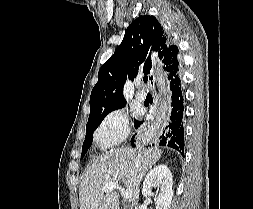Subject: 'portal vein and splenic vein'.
<instances>
[{
	"instance_id": "18ae733b",
	"label": "portal vein and splenic vein",
	"mask_w": 253,
	"mask_h": 209,
	"mask_svg": "<svg viewBox=\"0 0 253 209\" xmlns=\"http://www.w3.org/2000/svg\"><path fill=\"white\" fill-rule=\"evenodd\" d=\"M115 189H119L120 192H121V195L129 200L132 198V191L131 190H128V189H124L123 187L119 186L117 183L115 182H109V183H106L103 188H102V191L103 192H111L112 190H115Z\"/></svg>"
}]
</instances>
